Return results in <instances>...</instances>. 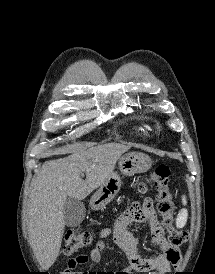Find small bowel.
Segmentation results:
<instances>
[{"label":"small bowel","mask_w":215,"mask_h":274,"mask_svg":"<svg viewBox=\"0 0 215 274\" xmlns=\"http://www.w3.org/2000/svg\"><path fill=\"white\" fill-rule=\"evenodd\" d=\"M147 223L151 231V242L162 253L144 257L139 254L137 238L129 230L132 223ZM112 236L114 242L127 255L129 266L118 272H89L76 271L79 265L85 264L89 259L99 262L101 251L105 247V240ZM181 262L179 246L171 244L165 236V232L158 222L151 198H145L142 203L131 205L117 220L113 228H104L98 234V241L89 255H79L67 263V268L61 274H166L172 268H177Z\"/></svg>","instance_id":"obj_1"}]
</instances>
